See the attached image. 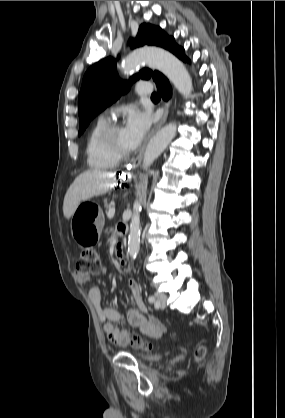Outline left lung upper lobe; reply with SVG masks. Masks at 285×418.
<instances>
[{
	"instance_id": "1",
	"label": "left lung upper lobe",
	"mask_w": 285,
	"mask_h": 418,
	"mask_svg": "<svg viewBox=\"0 0 285 418\" xmlns=\"http://www.w3.org/2000/svg\"><path fill=\"white\" fill-rule=\"evenodd\" d=\"M174 38L169 37L160 27L151 24H142L139 27L136 38L130 40L132 48L143 45H155L169 50L174 43ZM161 73L143 69L134 75L128 82L122 81L116 72V61L108 57L93 64L85 73L78 99L79 133L81 135L90 121L115 102L121 94L127 92L130 84L139 78L155 81Z\"/></svg>"
}]
</instances>
